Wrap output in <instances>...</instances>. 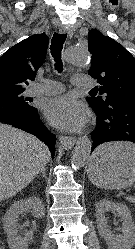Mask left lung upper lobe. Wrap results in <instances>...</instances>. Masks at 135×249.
Wrapping results in <instances>:
<instances>
[{
  "label": "left lung upper lobe",
  "instance_id": "5c2ea615",
  "mask_svg": "<svg viewBox=\"0 0 135 249\" xmlns=\"http://www.w3.org/2000/svg\"><path fill=\"white\" fill-rule=\"evenodd\" d=\"M88 50L92 54L89 75L101 85L103 97L91 95L88 103L95 108H106L112 102H135V58L114 39L96 29L88 33Z\"/></svg>",
  "mask_w": 135,
  "mask_h": 249
}]
</instances>
